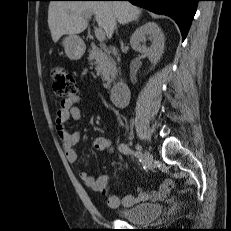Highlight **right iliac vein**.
I'll return each instance as SVG.
<instances>
[{"mask_svg": "<svg viewBox=\"0 0 231 231\" xmlns=\"http://www.w3.org/2000/svg\"><path fill=\"white\" fill-rule=\"evenodd\" d=\"M144 161H145V164L149 167L152 165V162H153V156L152 154H150L149 152H145L144 153Z\"/></svg>", "mask_w": 231, "mask_h": 231, "instance_id": "obj_1", "label": "right iliac vein"}]
</instances>
